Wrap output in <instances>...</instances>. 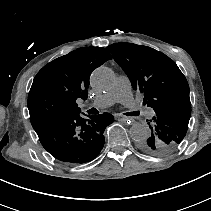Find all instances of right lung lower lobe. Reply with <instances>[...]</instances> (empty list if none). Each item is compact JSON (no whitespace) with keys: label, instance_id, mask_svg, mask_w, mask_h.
<instances>
[{"label":"right lung lower lobe","instance_id":"obj_1","mask_svg":"<svg viewBox=\"0 0 211 211\" xmlns=\"http://www.w3.org/2000/svg\"><path fill=\"white\" fill-rule=\"evenodd\" d=\"M80 116V112L35 128L42 146L57 160L83 164L95 159L105 142L104 130L114 121L109 113Z\"/></svg>","mask_w":211,"mask_h":211}]
</instances>
